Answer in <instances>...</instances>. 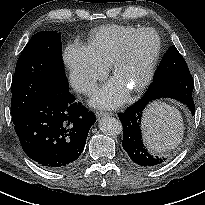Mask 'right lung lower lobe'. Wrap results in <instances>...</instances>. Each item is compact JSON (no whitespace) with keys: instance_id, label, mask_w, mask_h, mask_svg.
I'll return each mask as SVG.
<instances>
[{"instance_id":"98d812e1","label":"right lung lower lobe","mask_w":205,"mask_h":205,"mask_svg":"<svg viewBox=\"0 0 205 205\" xmlns=\"http://www.w3.org/2000/svg\"><path fill=\"white\" fill-rule=\"evenodd\" d=\"M69 91L49 95L35 104L14 129L22 149L48 170L73 166L96 118Z\"/></svg>"}]
</instances>
